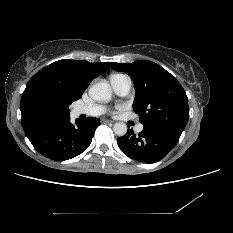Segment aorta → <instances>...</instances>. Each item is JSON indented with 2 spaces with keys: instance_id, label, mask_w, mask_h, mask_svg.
<instances>
[{
  "instance_id": "1",
  "label": "aorta",
  "mask_w": 233,
  "mask_h": 233,
  "mask_svg": "<svg viewBox=\"0 0 233 233\" xmlns=\"http://www.w3.org/2000/svg\"><path fill=\"white\" fill-rule=\"evenodd\" d=\"M89 95L95 101L103 102L111 98L112 91L108 82H98L89 89ZM114 133L118 136H124L127 133V125L123 122H117L113 127Z\"/></svg>"
}]
</instances>
